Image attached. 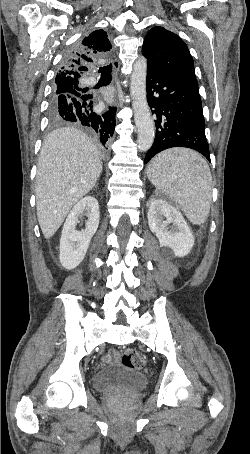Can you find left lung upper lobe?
Listing matches in <instances>:
<instances>
[{"instance_id": "1", "label": "left lung upper lobe", "mask_w": 250, "mask_h": 454, "mask_svg": "<svg viewBox=\"0 0 250 454\" xmlns=\"http://www.w3.org/2000/svg\"><path fill=\"white\" fill-rule=\"evenodd\" d=\"M142 53L152 69L195 78L194 62L187 45L178 35L163 27L156 26L148 31Z\"/></svg>"}]
</instances>
